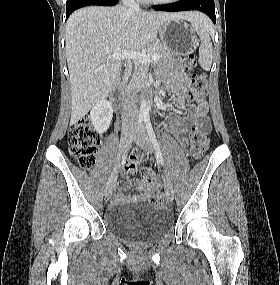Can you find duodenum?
Returning <instances> with one entry per match:
<instances>
[{
  "label": "duodenum",
  "instance_id": "410a0bca",
  "mask_svg": "<svg viewBox=\"0 0 280 285\" xmlns=\"http://www.w3.org/2000/svg\"><path fill=\"white\" fill-rule=\"evenodd\" d=\"M122 83H123V82H119V83H118V85H117V87H116L117 94L112 97L113 102H114L115 104H118V107H119V102H120L121 100H124V98H125V93H124V91H123V89H122ZM144 91L147 92L148 90L145 89Z\"/></svg>",
  "mask_w": 280,
  "mask_h": 285
}]
</instances>
